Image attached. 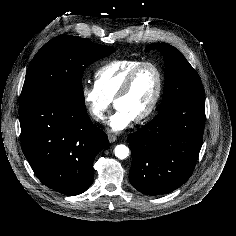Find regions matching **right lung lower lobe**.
<instances>
[{
	"label": "right lung lower lobe",
	"mask_w": 236,
	"mask_h": 236,
	"mask_svg": "<svg viewBox=\"0 0 236 236\" xmlns=\"http://www.w3.org/2000/svg\"><path fill=\"white\" fill-rule=\"evenodd\" d=\"M21 148L38 179L74 196L93 181V161L107 145L106 133L91 122L85 105L52 96L20 102Z\"/></svg>",
	"instance_id": "98d812e1"
}]
</instances>
